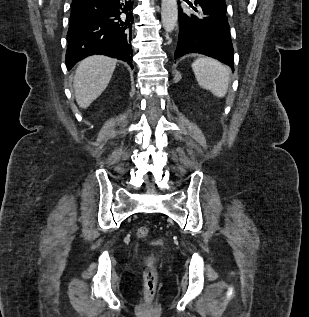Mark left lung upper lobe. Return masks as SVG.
<instances>
[{"label":"left lung upper lobe","mask_w":309,"mask_h":317,"mask_svg":"<svg viewBox=\"0 0 309 317\" xmlns=\"http://www.w3.org/2000/svg\"><path fill=\"white\" fill-rule=\"evenodd\" d=\"M196 1H202V2H208L213 3L221 6H226L225 0H196Z\"/></svg>","instance_id":"5c2ea615"}]
</instances>
